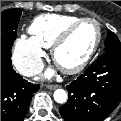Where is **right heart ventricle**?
<instances>
[{
  "label": "right heart ventricle",
  "instance_id": "right-heart-ventricle-1",
  "mask_svg": "<svg viewBox=\"0 0 121 121\" xmlns=\"http://www.w3.org/2000/svg\"><path fill=\"white\" fill-rule=\"evenodd\" d=\"M80 19L74 15L45 14L36 17L29 26V33L40 46L49 48L58 35L71 23Z\"/></svg>",
  "mask_w": 121,
  "mask_h": 121
}]
</instances>
